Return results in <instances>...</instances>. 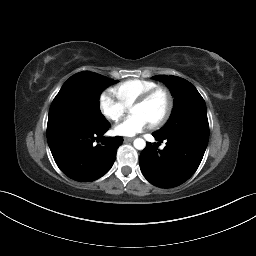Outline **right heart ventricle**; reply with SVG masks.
<instances>
[{"label": "right heart ventricle", "mask_w": 256, "mask_h": 256, "mask_svg": "<svg viewBox=\"0 0 256 256\" xmlns=\"http://www.w3.org/2000/svg\"><path fill=\"white\" fill-rule=\"evenodd\" d=\"M157 86L153 81L130 79L114 86L110 92L125 108H129L143 93Z\"/></svg>", "instance_id": "right-heart-ventricle-1"}]
</instances>
